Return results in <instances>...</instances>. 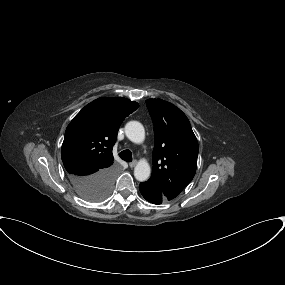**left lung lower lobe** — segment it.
Masks as SVG:
<instances>
[{
    "label": "left lung lower lobe",
    "mask_w": 285,
    "mask_h": 285,
    "mask_svg": "<svg viewBox=\"0 0 285 285\" xmlns=\"http://www.w3.org/2000/svg\"><path fill=\"white\" fill-rule=\"evenodd\" d=\"M139 187L142 196L150 203L161 204L163 201L171 200L163 193L159 185L152 181L142 182Z\"/></svg>",
    "instance_id": "0a47b994"
}]
</instances>
